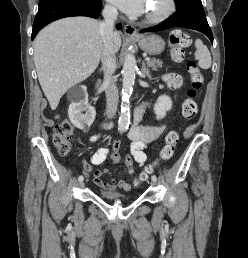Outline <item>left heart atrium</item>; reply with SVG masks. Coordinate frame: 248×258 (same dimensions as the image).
Returning a JSON list of instances; mask_svg holds the SVG:
<instances>
[{
    "instance_id": "39dd6f15",
    "label": "left heart atrium",
    "mask_w": 248,
    "mask_h": 258,
    "mask_svg": "<svg viewBox=\"0 0 248 258\" xmlns=\"http://www.w3.org/2000/svg\"><path fill=\"white\" fill-rule=\"evenodd\" d=\"M122 11L131 16H140L147 10L149 0H111Z\"/></svg>"
}]
</instances>
